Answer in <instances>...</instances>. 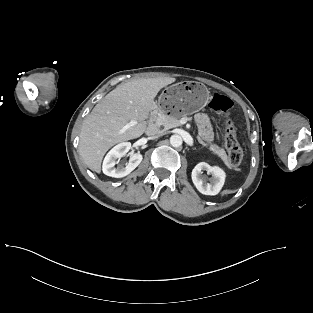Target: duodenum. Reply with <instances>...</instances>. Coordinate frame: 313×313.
I'll return each instance as SVG.
<instances>
[{
	"instance_id": "obj_1",
	"label": "duodenum",
	"mask_w": 313,
	"mask_h": 313,
	"mask_svg": "<svg viewBox=\"0 0 313 313\" xmlns=\"http://www.w3.org/2000/svg\"><path fill=\"white\" fill-rule=\"evenodd\" d=\"M159 123H158V116H153L150 120V123L147 127V134L148 135H155L158 131Z\"/></svg>"
}]
</instances>
